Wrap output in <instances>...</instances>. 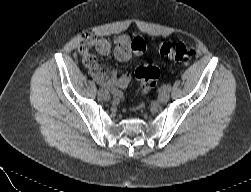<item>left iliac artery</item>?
<instances>
[{"label": "left iliac artery", "mask_w": 251, "mask_h": 192, "mask_svg": "<svg viewBox=\"0 0 251 192\" xmlns=\"http://www.w3.org/2000/svg\"><path fill=\"white\" fill-rule=\"evenodd\" d=\"M163 89L170 92L171 91V85L170 84L164 85Z\"/></svg>", "instance_id": "left-iliac-artery-1"}]
</instances>
